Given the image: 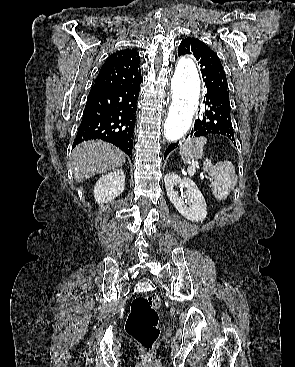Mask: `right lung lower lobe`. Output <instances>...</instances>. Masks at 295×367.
<instances>
[{
	"mask_svg": "<svg viewBox=\"0 0 295 367\" xmlns=\"http://www.w3.org/2000/svg\"><path fill=\"white\" fill-rule=\"evenodd\" d=\"M139 90L140 83L118 88L93 86L72 148L86 140L101 139L132 159Z\"/></svg>",
	"mask_w": 295,
	"mask_h": 367,
	"instance_id": "right-lung-lower-lobe-1",
	"label": "right lung lower lobe"
}]
</instances>
